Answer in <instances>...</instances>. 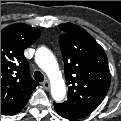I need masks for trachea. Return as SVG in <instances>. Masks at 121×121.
Instances as JSON below:
<instances>
[{
    "mask_svg": "<svg viewBox=\"0 0 121 121\" xmlns=\"http://www.w3.org/2000/svg\"><path fill=\"white\" fill-rule=\"evenodd\" d=\"M34 79H35L36 81H38V82H43L44 76H43V74H42L41 72L36 71V72L34 73Z\"/></svg>",
    "mask_w": 121,
    "mask_h": 121,
    "instance_id": "3493384b",
    "label": "trachea"
}]
</instances>
